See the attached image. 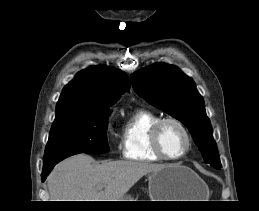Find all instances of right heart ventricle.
<instances>
[{
  "label": "right heart ventricle",
  "instance_id": "1",
  "mask_svg": "<svg viewBox=\"0 0 259 211\" xmlns=\"http://www.w3.org/2000/svg\"><path fill=\"white\" fill-rule=\"evenodd\" d=\"M161 119L157 113L139 108L130 114L121 128L124 158L132 161H159L151 144V132Z\"/></svg>",
  "mask_w": 259,
  "mask_h": 211
}]
</instances>
